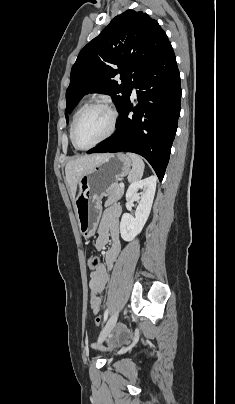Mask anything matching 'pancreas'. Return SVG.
Segmentation results:
<instances>
[{"mask_svg":"<svg viewBox=\"0 0 235 404\" xmlns=\"http://www.w3.org/2000/svg\"><path fill=\"white\" fill-rule=\"evenodd\" d=\"M124 193V189L120 187V185L116 182L112 185L110 191L108 192V199L106 201V205H109L113 202L119 200Z\"/></svg>","mask_w":235,"mask_h":404,"instance_id":"cf45deb5","label":"pancreas"}]
</instances>
